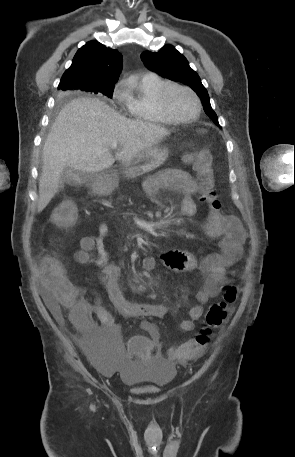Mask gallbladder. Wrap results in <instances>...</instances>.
<instances>
[{"mask_svg": "<svg viewBox=\"0 0 295 457\" xmlns=\"http://www.w3.org/2000/svg\"><path fill=\"white\" fill-rule=\"evenodd\" d=\"M61 180L69 185L78 184V177L74 170L70 167H65L61 173Z\"/></svg>", "mask_w": 295, "mask_h": 457, "instance_id": "1", "label": "gallbladder"}]
</instances>
